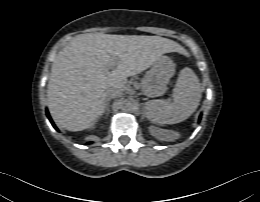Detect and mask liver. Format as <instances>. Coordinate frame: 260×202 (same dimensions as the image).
<instances>
[{
	"label": "liver",
	"mask_w": 260,
	"mask_h": 202,
	"mask_svg": "<svg viewBox=\"0 0 260 202\" xmlns=\"http://www.w3.org/2000/svg\"><path fill=\"white\" fill-rule=\"evenodd\" d=\"M183 48L158 36H76L59 52L47 87L48 107L54 121L69 131L91 127L106 108V91L123 88L127 77L153 65L163 54ZM116 68L109 71L110 64Z\"/></svg>",
	"instance_id": "liver-1"
}]
</instances>
